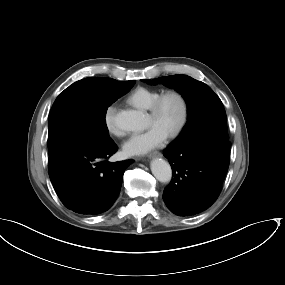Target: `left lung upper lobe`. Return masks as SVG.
Instances as JSON below:
<instances>
[{
    "mask_svg": "<svg viewBox=\"0 0 285 285\" xmlns=\"http://www.w3.org/2000/svg\"><path fill=\"white\" fill-rule=\"evenodd\" d=\"M144 81L148 84L161 83L172 87L180 92L187 102V123L168 148L182 147L205 138L229 140L223 104L208 85L187 75L164 76Z\"/></svg>",
    "mask_w": 285,
    "mask_h": 285,
    "instance_id": "obj_1",
    "label": "left lung upper lobe"
}]
</instances>
